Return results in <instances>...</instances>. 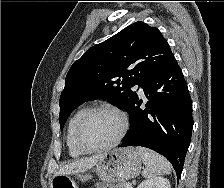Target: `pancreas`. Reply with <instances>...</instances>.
Returning <instances> with one entry per match:
<instances>
[{
    "label": "pancreas",
    "mask_w": 224,
    "mask_h": 188,
    "mask_svg": "<svg viewBox=\"0 0 224 188\" xmlns=\"http://www.w3.org/2000/svg\"><path fill=\"white\" fill-rule=\"evenodd\" d=\"M126 182H120L117 184L97 183L96 188H126Z\"/></svg>",
    "instance_id": "1"
}]
</instances>
